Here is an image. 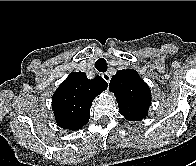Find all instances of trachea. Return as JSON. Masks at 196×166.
I'll list each match as a JSON object with an SVG mask.
<instances>
[{"label":"trachea","instance_id":"obj_1","mask_svg":"<svg viewBox=\"0 0 196 166\" xmlns=\"http://www.w3.org/2000/svg\"><path fill=\"white\" fill-rule=\"evenodd\" d=\"M95 68L99 71V72H106L107 71V63L106 60L103 58H100L96 61L95 63Z\"/></svg>","mask_w":196,"mask_h":166}]
</instances>
